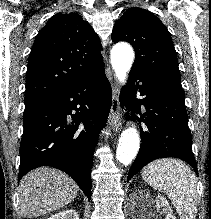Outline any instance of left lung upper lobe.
<instances>
[{
    "mask_svg": "<svg viewBox=\"0 0 211 219\" xmlns=\"http://www.w3.org/2000/svg\"><path fill=\"white\" fill-rule=\"evenodd\" d=\"M112 41L133 45L135 61L132 69L180 76L170 33L153 13L142 8L126 10L113 27Z\"/></svg>",
    "mask_w": 211,
    "mask_h": 219,
    "instance_id": "1",
    "label": "left lung upper lobe"
}]
</instances>
